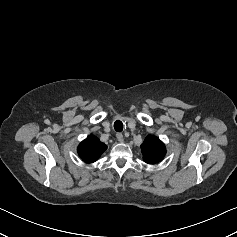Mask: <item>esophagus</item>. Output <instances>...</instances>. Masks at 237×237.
I'll return each mask as SVG.
<instances>
[{
    "label": "esophagus",
    "instance_id": "34e87169",
    "mask_svg": "<svg viewBox=\"0 0 237 237\" xmlns=\"http://www.w3.org/2000/svg\"><path fill=\"white\" fill-rule=\"evenodd\" d=\"M116 137H117V140H118L119 142H123V141H124V138H123V134H122V133H117V134H116Z\"/></svg>",
    "mask_w": 237,
    "mask_h": 237
}]
</instances>
